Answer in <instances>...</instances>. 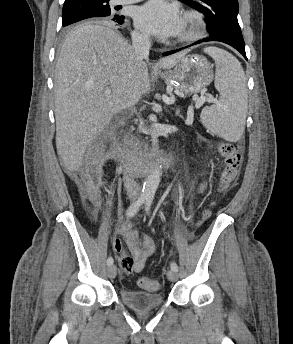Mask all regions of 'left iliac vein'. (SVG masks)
<instances>
[{"mask_svg":"<svg viewBox=\"0 0 293 344\" xmlns=\"http://www.w3.org/2000/svg\"><path fill=\"white\" fill-rule=\"evenodd\" d=\"M167 278L170 280V281H172V282H174V281H176L177 279H178V273H177V271H174V270H169L168 272H167Z\"/></svg>","mask_w":293,"mask_h":344,"instance_id":"1","label":"left iliac vein"}]
</instances>
